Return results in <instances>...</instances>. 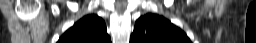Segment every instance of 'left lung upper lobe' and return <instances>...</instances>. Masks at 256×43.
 <instances>
[{"label": "left lung upper lobe", "instance_id": "left-lung-upper-lobe-1", "mask_svg": "<svg viewBox=\"0 0 256 43\" xmlns=\"http://www.w3.org/2000/svg\"><path fill=\"white\" fill-rule=\"evenodd\" d=\"M130 43H191V41L169 20L157 14H146L135 22Z\"/></svg>", "mask_w": 256, "mask_h": 43}]
</instances>
